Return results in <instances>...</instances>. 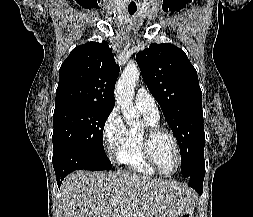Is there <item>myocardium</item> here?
<instances>
[{
    "label": "myocardium",
    "instance_id": "myocardium-1",
    "mask_svg": "<svg viewBox=\"0 0 253 217\" xmlns=\"http://www.w3.org/2000/svg\"><path fill=\"white\" fill-rule=\"evenodd\" d=\"M162 133L167 134L171 138V140L174 144V147H175V151H176V167H175L174 171H172L170 173H165L160 169L159 165L157 164V162L154 158L153 151H152V144H153L154 139L159 134H162ZM141 147H142V152H143L145 159L147 160L149 165L158 174H160L162 176H173L180 169L182 156H181V149H180L179 141H178L176 135L173 133V131L170 130L169 128H166V127H163L160 125H146V126H144L142 129V134H141Z\"/></svg>",
    "mask_w": 253,
    "mask_h": 217
}]
</instances>
